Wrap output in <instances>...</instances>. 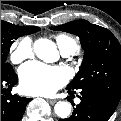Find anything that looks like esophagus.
I'll use <instances>...</instances> for the list:
<instances>
[{"instance_id": "1", "label": "esophagus", "mask_w": 121, "mask_h": 121, "mask_svg": "<svg viewBox=\"0 0 121 121\" xmlns=\"http://www.w3.org/2000/svg\"><path fill=\"white\" fill-rule=\"evenodd\" d=\"M50 104H54V103H56L57 102V100L56 99H48L47 100Z\"/></svg>"}]
</instances>
